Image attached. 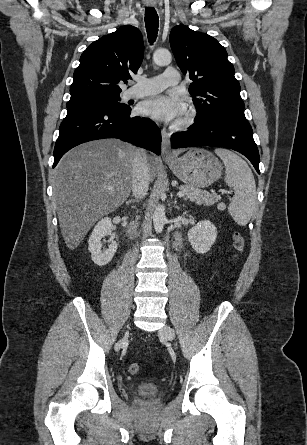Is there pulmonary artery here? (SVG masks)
Segmentation results:
<instances>
[{"mask_svg":"<svg viewBox=\"0 0 307 445\" xmlns=\"http://www.w3.org/2000/svg\"><path fill=\"white\" fill-rule=\"evenodd\" d=\"M160 81H148V80ZM136 88L131 86L128 90V96L131 98L154 95L171 84H179L181 81L180 70L173 67H167L158 72L137 76ZM180 88L184 87L183 83L179 84Z\"/></svg>","mask_w":307,"mask_h":445,"instance_id":"1","label":"pulmonary artery"}]
</instances>
